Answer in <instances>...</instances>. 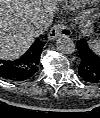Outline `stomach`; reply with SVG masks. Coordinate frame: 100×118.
Masks as SVG:
<instances>
[{
	"label": "stomach",
	"mask_w": 100,
	"mask_h": 118,
	"mask_svg": "<svg viewBox=\"0 0 100 118\" xmlns=\"http://www.w3.org/2000/svg\"><path fill=\"white\" fill-rule=\"evenodd\" d=\"M79 27L81 28L83 35L91 36L93 34V21L92 18L89 16V13L85 12L79 18Z\"/></svg>",
	"instance_id": "1"
}]
</instances>
